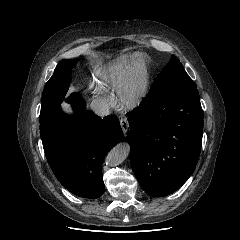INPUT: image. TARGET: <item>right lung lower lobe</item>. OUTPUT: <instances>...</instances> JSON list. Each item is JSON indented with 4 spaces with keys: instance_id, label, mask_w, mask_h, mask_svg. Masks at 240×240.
Instances as JSON below:
<instances>
[{
    "instance_id": "right-lung-lower-lobe-1",
    "label": "right lung lower lobe",
    "mask_w": 240,
    "mask_h": 240,
    "mask_svg": "<svg viewBox=\"0 0 240 240\" xmlns=\"http://www.w3.org/2000/svg\"><path fill=\"white\" fill-rule=\"evenodd\" d=\"M74 115L67 117L61 107L40 122V136L47 161L59 182L72 194L95 199L102 196V162L121 141L123 132L118 118L101 119L85 111L83 98L69 97Z\"/></svg>"
}]
</instances>
